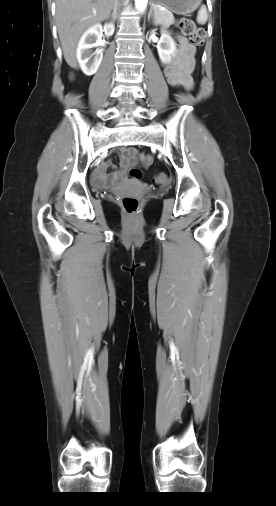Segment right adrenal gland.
Wrapping results in <instances>:
<instances>
[{
	"mask_svg": "<svg viewBox=\"0 0 276 506\" xmlns=\"http://www.w3.org/2000/svg\"><path fill=\"white\" fill-rule=\"evenodd\" d=\"M111 19L115 22L117 19V5H115L112 15H110Z\"/></svg>",
	"mask_w": 276,
	"mask_h": 506,
	"instance_id": "2a0ac1e0",
	"label": "right adrenal gland"
}]
</instances>
